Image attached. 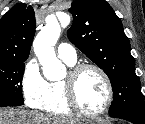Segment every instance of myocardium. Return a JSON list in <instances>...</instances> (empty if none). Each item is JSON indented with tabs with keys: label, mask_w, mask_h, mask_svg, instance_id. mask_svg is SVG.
Masks as SVG:
<instances>
[{
	"label": "myocardium",
	"mask_w": 145,
	"mask_h": 124,
	"mask_svg": "<svg viewBox=\"0 0 145 124\" xmlns=\"http://www.w3.org/2000/svg\"><path fill=\"white\" fill-rule=\"evenodd\" d=\"M86 70L96 71L103 79L106 86V90H107V98H106L105 103L102 105V107H100L98 110L93 111V112L86 111L82 107L76 94V88H75L76 81L79 75ZM63 85H64L65 96H66L68 105L70 106L72 111H74L76 114L83 117H98L104 114L109 109L114 99L113 84L109 75L106 73V71L102 67L96 64L81 63V64L73 65L70 71L68 72L67 77L63 80Z\"/></svg>",
	"instance_id": "1"
}]
</instances>
